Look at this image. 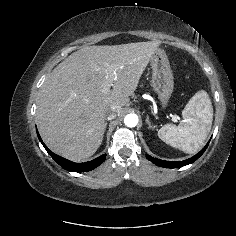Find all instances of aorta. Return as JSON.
Returning a JSON list of instances; mask_svg holds the SVG:
<instances>
[{
  "mask_svg": "<svg viewBox=\"0 0 236 236\" xmlns=\"http://www.w3.org/2000/svg\"><path fill=\"white\" fill-rule=\"evenodd\" d=\"M124 123L127 127H135L138 124V116L134 113L127 114L124 118Z\"/></svg>",
  "mask_w": 236,
  "mask_h": 236,
  "instance_id": "762f6f07",
  "label": "aorta"
}]
</instances>
